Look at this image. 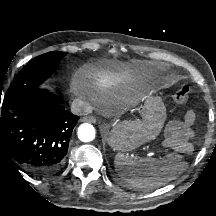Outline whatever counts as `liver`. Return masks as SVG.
Segmentation results:
<instances>
[{"instance_id":"liver-1","label":"liver","mask_w":216,"mask_h":216,"mask_svg":"<svg viewBox=\"0 0 216 216\" xmlns=\"http://www.w3.org/2000/svg\"><path fill=\"white\" fill-rule=\"evenodd\" d=\"M140 100H141V97H140V96H138V95H133V96L130 97L128 103H129L130 105H137L138 102H139Z\"/></svg>"}]
</instances>
